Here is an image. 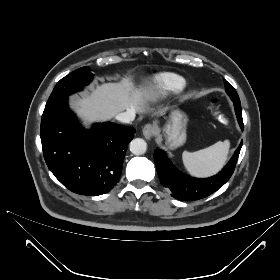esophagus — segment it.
Returning a JSON list of instances; mask_svg holds the SVG:
<instances>
[{"mask_svg":"<svg viewBox=\"0 0 280 280\" xmlns=\"http://www.w3.org/2000/svg\"><path fill=\"white\" fill-rule=\"evenodd\" d=\"M143 135L146 139H151L157 132V128L152 124H147L143 127Z\"/></svg>","mask_w":280,"mask_h":280,"instance_id":"esophagus-1","label":"esophagus"}]
</instances>
